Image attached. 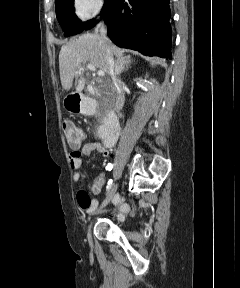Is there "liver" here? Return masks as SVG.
Returning <instances> with one entry per match:
<instances>
[{"instance_id": "6515ba94", "label": "liver", "mask_w": 240, "mask_h": 288, "mask_svg": "<svg viewBox=\"0 0 240 288\" xmlns=\"http://www.w3.org/2000/svg\"><path fill=\"white\" fill-rule=\"evenodd\" d=\"M105 45L109 47L112 56L116 57V61H130V56H124V50L112 45L108 40L105 43L96 33L83 34L61 47L59 69L61 84L65 90L72 88L76 70L82 67V64L90 63L109 75ZM84 87L85 78L81 76L76 92L80 93Z\"/></svg>"}]
</instances>
